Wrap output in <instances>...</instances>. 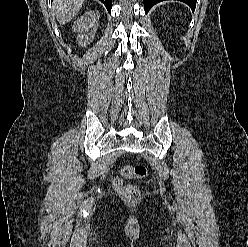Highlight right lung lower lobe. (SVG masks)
<instances>
[{"label":"right lung lower lobe","mask_w":248,"mask_h":247,"mask_svg":"<svg viewBox=\"0 0 248 247\" xmlns=\"http://www.w3.org/2000/svg\"><path fill=\"white\" fill-rule=\"evenodd\" d=\"M107 8L108 12H111L112 0H100Z\"/></svg>","instance_id":"right-lung-lower-lobe-1"}]
</instances>
